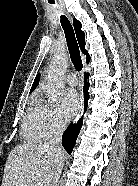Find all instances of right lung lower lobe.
<instances>
[{
  "instance_id": "right-lung-lower-lobe-1",
  "label": "right lung lower lobe",
  "mask_w": 138,
  "mask_h": 186,
  "mask_svg": "<svg viewBox=\"0 0 138 186\" xmlns=\"http://www.w3.org/2000/svg\"><path fill=\"white\" fill-rule=\"evenodd\" d=\"M85 83H84V103H85V109H87V102L89 99V93H88V87H89V83L86 82V78L88 77L85 74ZM82 126V118L74 125H70L66 131L63 134L62 137V145L63 147L66 149V151L68 152V154H71L73 147L76 143V139L77 136L79 134V131L81 129Z\"/></svg>"
}]
</instances>
